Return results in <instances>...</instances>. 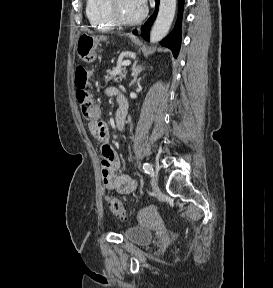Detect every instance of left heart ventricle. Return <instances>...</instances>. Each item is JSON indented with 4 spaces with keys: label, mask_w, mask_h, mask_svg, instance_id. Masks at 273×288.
<instances>
[{
    "label": "left heart ventricle",
    "mask_w": 273,
    "mask_h": 288,
    "mask_svg": "<svg viewBox=\"0 0 273 288\" xmlns=\"http://www.w3.org/2000/svg\"><path fill=\"white\" fill-rule=\"evenodd\" d=\"M117 8L119 15L125 19L138 17L144 9L137 0H118Z\"/></svg>",
    "instance_id": "b2bd125f"
}]
</instances>
